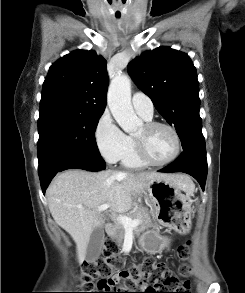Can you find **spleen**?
Masks as SVG:
<instances>
[{"mask_svg":"<svg viewBox=\"0 0 245 293\" xmlns=\"http://www.w3.org/2000/svg\"><path fill=\"white\" fill-rule=\"evenodd\" d=\"M194 189V188H193ZM193 189H190L188 192L190 193L191 191H193Z\"/></svg>","mask_w":245,"mask_h":293,"instance_id":"1","label":"spleen"}]
</instances>
